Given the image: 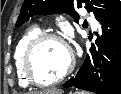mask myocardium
I'll return each instance as SVG.
<instances>
[{
	"label": "myocardium",
	"instance_id": "obj_1",
	"mask_svg": "<svg viewBox=\"0 0 121 94\" xmlns=\"http://www.w3.org/2000/svg\"><path fill=\"white\" fill-rule=\"evenodd\" d=\"M54 40L62 44L68 52L69 61L64 71L55 79L49 82H42L36 79L31 68V61L36 48L44 41ZM75 57L70 45L58 34L55 33H40L34 37L26 46L22 57V70L29 84L37 87H50L59 84L65 80L74 70Z\"/></svg>",
	"mask_w": 121,
	"mask_h": 94
}]
</instances>
